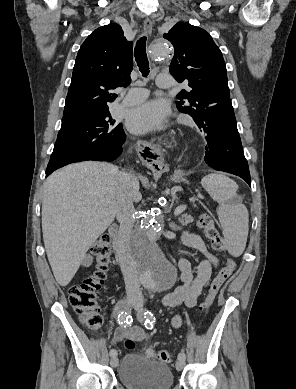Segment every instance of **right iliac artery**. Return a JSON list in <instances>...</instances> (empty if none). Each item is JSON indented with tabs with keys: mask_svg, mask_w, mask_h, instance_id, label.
Returning <instances> with one entry per match:
<instances>
[{
	"mask_svg": "<svg viewBox=\"0 0 296 389\" xmlns=\"http://www.w3.org/2000/svg\"><path fill=\"white\" fill-rule=\"evenodd\" d=\"M125 308H129V305H128V302H126L125 300H121L117 306H116V313H117V321L119 324H123L125 323V314H124V309ZM110 356L113 357V356H117V351L112 349L110 351Z\"/></svg>",
	"mask_w": 296,
	"mask_h": 389,
	"instance_id": "right-iliac-artery-1",
	"label": "right iliac artery"
}]
</instances>
